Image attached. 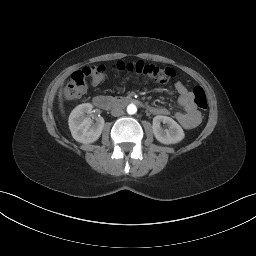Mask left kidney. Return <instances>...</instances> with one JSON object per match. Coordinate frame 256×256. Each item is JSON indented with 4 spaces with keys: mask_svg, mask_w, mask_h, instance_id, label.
<instances>
[{
    "mask_svg": "<svg viewBox=\"0 0 256 256\" xmlns=\"http://www.w3.org/2000/svg\"><path fill=\"white\" fill-rule=\"evenodd\" d=\"M161 123L167 124L168 129H162ZM155 138L163 144H175L184 138V131L181 126L172 118L167 116H156L152 125Z\"/></svg>",
    "mask_w": 256,
    "mask_h": 256,
    "instance_id": "5707ae66",
    "label": "left kidney"
}]
</instances>
